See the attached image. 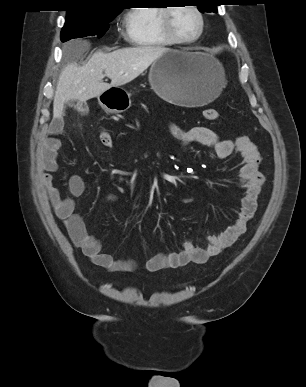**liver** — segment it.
<instances>
[{"mask_svg": "<svg viewBox=\"0 0 306 387\" xmlns=\"http://www.w3.org/2000/svg\"><path fill=\"white\" fill-rule=\"evenodd\" d=\"M168 50L165 47L139 46L111 53L97 51L83 66L68 64L57 82L53 117H62L65 102H86L112 87L131 82ZM104 77H108L111 83H105Z\"/></svg>", "mask_w": 306, "mask_h": 387, "instance_id": "liver-1", "label": "liver"}]
</instances>
